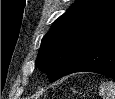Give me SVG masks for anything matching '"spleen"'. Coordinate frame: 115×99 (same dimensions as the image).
Listing matches in <instances>:
<instances>
[{"label": "spleen", "instance_id": "spleen-1", "mask_svg": "<svg viewBox=\"0 0 115 99\" xmlns=\"http://www.w3.org/2000/svg\"><path fill=\"white\" fill-rule=\"evenodd\" d=\"M99 94L103 99H115V83L111 81L102 83Z\"/></svg>", "mask_w": 115, "mask_h": 99}]
</instances>
